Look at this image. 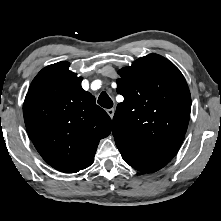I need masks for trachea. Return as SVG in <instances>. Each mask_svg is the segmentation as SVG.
I'll use <instances>...</instances> for the list:
<instances>
[{
  "mask_svg": "<svg viewBox=\"0 0 221 221\" xmlns=\"http://www.w3.org/2000/svg\"><path fill=\"white\" fill-rule=\"evenodd\" d=\"M98 104L102 106L103 108H112L113 107V101L108 96L106 92H102L98 98Z\"/></svg>",
  "mask_w": 221,
  "mask_h": 221,
  "instance_id": "3493384b",
  "label": "trachea"
}]
</instances>
